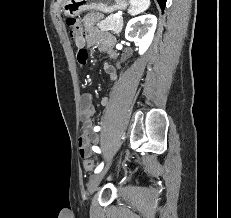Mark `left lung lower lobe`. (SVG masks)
<instances>
[{"mask_svg": "<svg viewBox=\"0 0 231 218\" xmlns=\"http://www.w3.org/2000/svg\"><path fill=\"white\" fill-rule=\"evenodd\" d=\"M157 2L159 3L160 8H161L162 10H164L165 4H166V0H157Z\"/></svg>", "mask_w": 231, "mask_h": 218, "instance_id": "1", "label": "left lung lower lobe"}]
</instances>
